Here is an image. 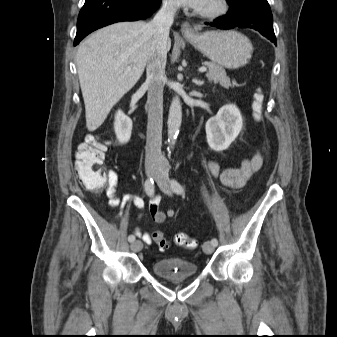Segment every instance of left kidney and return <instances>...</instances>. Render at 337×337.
Masks as SVG:
<instances>
[{"label":"left kidney","mask_w":337,"mask_h":337,"mask_svg":"<svg viewBox=\"0 0 337 337\" xmlns=\"http://www.w3.org/2000/svg\"><path fill=\"white\" fill-rule=\"evenodd\" d=\"M243 120L239 109L228 104L216 116L206 122V137L209 147L217 152L226 150L242 130Z\"/></svg>","instance_id":"left-kidney-1"}]
</instances>
